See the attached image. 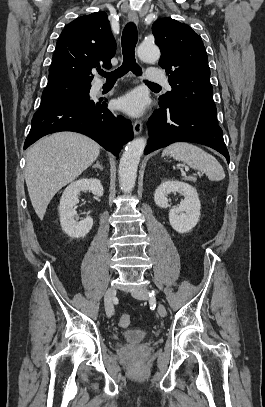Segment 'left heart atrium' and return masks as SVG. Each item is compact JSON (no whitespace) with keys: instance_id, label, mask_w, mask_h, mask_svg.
I'll use <instances>...</instances> for the list:
<instances>
[{"instance_id":"obj_1","label":"left heart atrium","mask_w":265,"mask_h":407,"mask_svg":"<svg viewBox=\"0 0 265 407\" xmlns=\"http://www.w3.org/2000/svg\"><path fill=\"white\" fill-rule=\"evenodd\" d=\"M116 106L130 116H140L145 111L146 98L142 93L133 91L118 99Z\"/></svg>"}]
</instances>
